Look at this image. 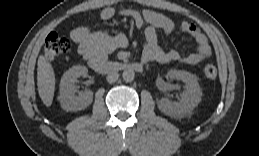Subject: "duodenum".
Instances as JSON below:
<instances>
[{
	"label": "duodenum",
	"mask_w": 259,
	"mask_h": 156,
	"mask_svg": "<svg viewBox=\"0 0 259 156\" xmlns=\"http://www.w3.org/2000/svg\"><path fill=\"white\" fill-rule=\"evenodd\" d=\"M89 65L98 73L110 74L118 71H134L142 72L143 65L139 62H122V61H110L92 60L89 61Z\"/></svg>",
	"instance_id": "410a0bca"
}]
</instances>
